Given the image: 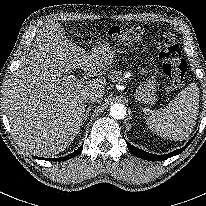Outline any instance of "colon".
<instances>
[{
    "label": "colon",
    "mask_w": 206,
    "mask_h": 206,
    "mask_svg": "<svg viewBox=\"0 0 206 206\" xmlns=\"http://www.w3.org/2000/svg\"><path fill=\"white\" fill-rule=\"evenodd\" d=\"M109 35L117 42H128L143 35L153 37L159 48L158 57L162 62L164 74L174 84H179L183 80L187 65L169 29L159 25L131 24L126 28H111Z\"/></svg>",
    "instance_id": "5ec220e1"
}]
</instances>
